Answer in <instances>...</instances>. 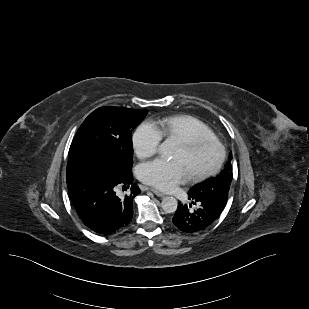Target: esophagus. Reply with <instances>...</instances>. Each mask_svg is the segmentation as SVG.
<instances>
[{"label": "esophagus", "mask_w": 309, "mask_h": 309, "mask_svg": "<svg viewBox=\"0 0 309 309\" xmlns=\"http://www.w3.org/2000/svg\"><path fill=\"white\" fill-rule=\"evenodd\" d=\"M150 191H152L155 195H157L158 197H164L165 194L157 189H154V188H150L149 189Z\"/></svg>", "instance_id": "34e87169"}]
</instances>
